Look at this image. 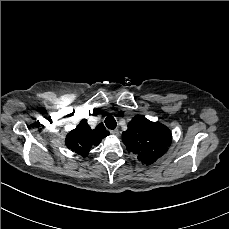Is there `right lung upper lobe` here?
<instances>
[{
	"label": "right lung upper lobe",
	"instance_id": "cb5924a9",
	"mask_svg": "<svg viewBox=\"0 0 229 229\" xmlns=\"http://www.w3.org/2000/svg\"><path fill=\"white\" fill-rule=\"evenodd\" d=\"M108 135L109 131L102 123L92 130L87 124V120L84 119L68 133L65 144L73 152L86 156L93 146L99 145L101 140Z\"/></svg>",
	"mask_w": 229,
	"mask_h": 229
}]
</instances>
